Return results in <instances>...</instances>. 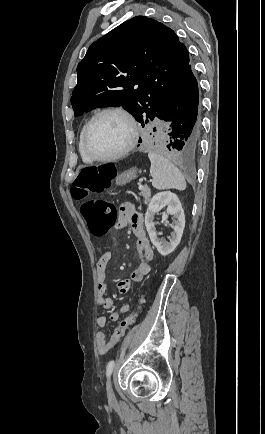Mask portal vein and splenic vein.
<instances>
[{
    "mask_svg": "<svg viewBox=\"0 0 265 434\" xmlns=\"http://www.w3.org/2000/svg\"><path fill=\"white\" fill-rule=\"evenodd\" d=\"M138 186H139V190H143L142 184H138Z\"/></svg>",
    "mask_w": 265,
    "mask_h": 434,
    "instance_id": "18ae733b",
    "label": "portal vein and splenic vein"
}]
</instances>
